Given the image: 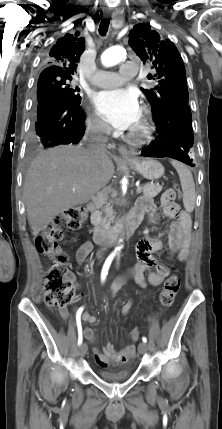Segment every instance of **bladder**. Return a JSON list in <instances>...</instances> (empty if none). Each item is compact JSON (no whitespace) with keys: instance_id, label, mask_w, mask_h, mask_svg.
<instances>
[{"instance_id":"31cf9c89","label":"bladder","mask_w":222,"mask_h":429,"mask_svg":"<svg viewBox=\"0 0 222 429\" xmlns=\"http://www.w3.org/2000/svg\"><path fill=\"white\" fill-rule=\"evenodd\" d=\"M98 376L105 381L119 382L127 380L131 376V372L125 369L114 371L102 370L98 372Z\"/></svg>"}]
</instances>
